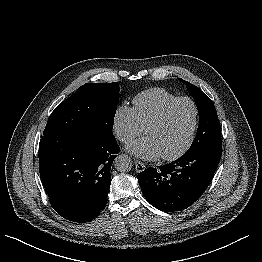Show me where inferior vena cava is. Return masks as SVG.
<instances>
[{"label":"inferior vena cava","instance_id":"602c4592","mask_svg":"<svg viewBox=\"0 0 262 262\" xmlns=\"http://www.w3.org/2000/svg\"><path fill=\"white\" fill-rule=\"evenodd\" d=\"M122 141H127L128 140V138H125V137H122V139H121Z\"/></svg>","mask_w":262,"mask_h":262}]
</instances>
